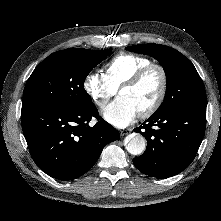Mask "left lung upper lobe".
Here are the masks:
<instances>
[{"instance_id":"obj_1","label":"left lung upper lobe","mask_w":221,"mask_h":221,"mask_svg":"<svg viewBox=\"0 0 221 221\" xmlns=\"http://www.w3.org/2000/svg\"><path fill=\"white\" fill-rule=\"evenodd\" d=\"M126 50L154 57L165 71L166 94L156 112L170 108H206L202 79L192 62L179 51L155 43L128 46Z\"/></svg>"}]
</instances>
